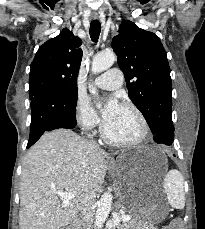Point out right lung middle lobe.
I'll return each mask as SVG.
<instances>
[{"instance_id": "right-lung-middle-lobe-1", "label": "right lung middle lobe", "mask_w": 205, "mask_h": 229, "mask_svg": "<svg viewBox=\"0 0 205 229\" xmlns=\"http://www.w3.org/2000/svg\"><path fill=\"white\" fill-rule=\"evenodd\" d=\"M66 91L70 92L74 97H77V85L69 84L66 86Z\"/></svg>"}]
</instances>
